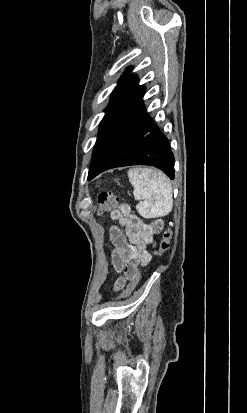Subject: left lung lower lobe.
<instances>
[{
    "label": "left lung lower lobe",
    "mask_w": 247,
    "mask_h": 413,
    "mask_svg": "<svg viewBox=\"0 0 247 413\" xmlns=\"http://www.w3.org/2000/svg\"><path fill=\"white\" fill-rule=\"evenodd\" d=\"M149 165L174 179V155L168 139L146 113L142 98L96 142L88 180L122 166Z\"/></svg>",
    "instance_id": "0a47b994"
}]
</instances>
